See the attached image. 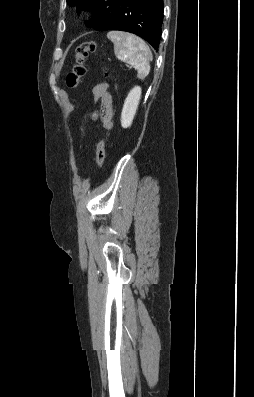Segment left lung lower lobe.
Segmentation results:
<instances>
[{
	"label": "left lung lower lobe",
	"instance_id": "0a47b994",
	"mask_svg": "<svg viewBox=\"0 0 254 397\" xmlns=\"http://www.w3.org/2000/svg\"><path fill=\"white\" fill-rule=\"evenodd\" d=\"M97 31L134 33L158 49L162 34L163 0H107Z\"/></svg>",
	"mask_w": 254,
	"mask_h": 397
}]
</instances>
